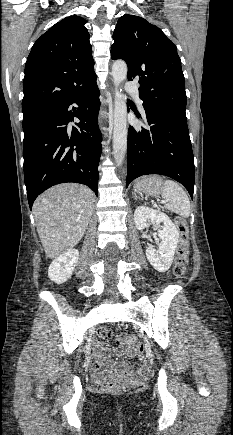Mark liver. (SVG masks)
<instances>
[{
  "label": "liver",
  "mask_w": 233,
  "mask_h": 435,
  "mask_svg": "<svg viewBox=\"0 0 233 435\" xmlns=\"http://www.w3.org/2000/svg\"><path fill=\"white\" fill-rule=\"evenodd\" d=\"M94 211L88 187L65 183L53 186L34 202L37 232L47 257L56 258L76 246Z\"/></svg>",
  "instance_id": "liver-1"
}]
</instances>
